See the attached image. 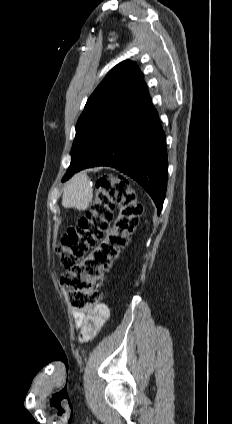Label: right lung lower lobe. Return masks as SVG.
Instances as JSON below:
<instances>
[{"label":"right lung lower lobe","mask_w":232,"mask_h":424,"mask_svg":"<svg viewBox=\"0 0 232 424\" xmlns=\"http://www.w3.org/2000/svg\"><path fill=\"white\" fill-rule=\"evenodd\" d=\"M94 166H111L136 180L160 214L167 187V150L151 99L133 107L130 121L113 130L80 170Z\"/></svg>","instance_id":"obj_1"}]
</instances>
